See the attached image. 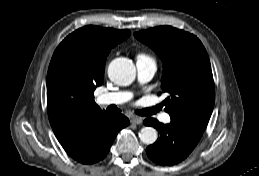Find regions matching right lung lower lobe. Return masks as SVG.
Segmentation results:
<instances>
[{
	"label": "right lung lower lobe",
	"instance_id": "98d812e1",
	"mask_svg": "<svg viewBox=\"0 0 259 176\" xmlns=\"http://www.w3.org/2000/svg\"><path fill=\"white\" fill-rule=\"evenodd\" d=\"M128 124V118L122 114L103 113L85 134L63 148L79 163H96L105 158L117 133Z\"/></svg>",
	"mask_w": 259,
	"mask_h": 176
}]
</instances>
